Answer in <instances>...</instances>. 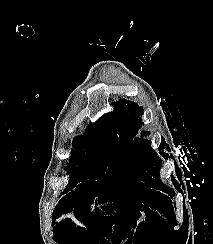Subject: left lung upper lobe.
<instances>
[{
    "label": "left lung upper lobe",
    "instance_id": "5c2ea615",
    "mask_svg": "<svg viewBox=\"0 0 213 244\" xmlns=\"http://www.w3.org/2000/svg\"><path fill=\"white\" fill-rule=\"evenodd\" d=\"M115 110L110 114L113 125L118 128V132L127 139L128 147L136 156V162L140 170H146L155 178H159L161 159L151 146L150 141L142 139L149 135V132L141 134V138H134L143 123L140 116L143 114L142 107L135 102L120 100L112 104ZM134 138V139H133ZM159 181V180H158ZM172 191V189H170Z\"/></svg>",
    "mask_w": 213,
    "mask_h": 244
}]
</instances>
